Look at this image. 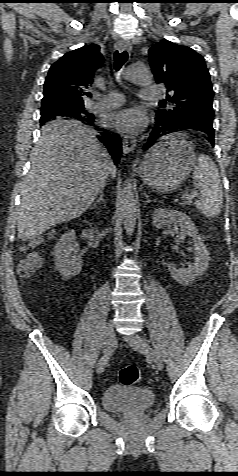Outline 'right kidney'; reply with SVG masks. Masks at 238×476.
Here are the masks:
<instances>
[{"mask_svg": "<svg viewBox=\"0 0 238 476\" xmlns=\"http://www.w3.org/2000/svg\"><path fill=\"white\" fill-rule=\"evenodd\" d=\"M79 243L74 230L63 234L54 247L55 266L65 279L76 277L82 269V259L78 255Z\"/></svg>", "mask_w": 238, "mask_h": 476, "instance_id": "ca27d5eb", "label": "right kidney"}]
</instances>
